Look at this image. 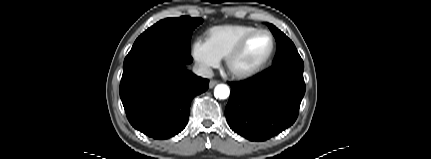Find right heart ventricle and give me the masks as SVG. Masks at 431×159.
Returning <instances> with one entry per match:
<instances>
[{
  "label": "right heart ventricle",
  "instance_id": "obj_1",
  "mask_svg": "<svg viewBox=\"0 0 431 159\" xmlns=\"http://www.w3.org/2000/svg\"><path fill=\"white\" fill-rule=\"evenodd\" d=\"M256 29L243 24L214 26L205 32V41L220 59H224L245 35Z\"/></svg>",
  "mask_w": 431,
  "mask_h": 159
}]
</instances>
